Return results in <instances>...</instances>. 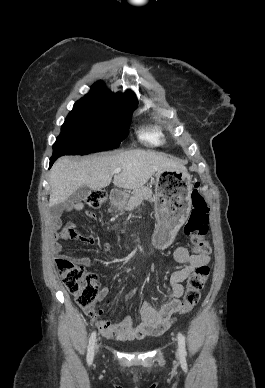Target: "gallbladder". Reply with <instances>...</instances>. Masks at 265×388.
<instances>
[{"label":"gallbladder","instance_id":"gallbladder-1","mask_svg":"<svg viewBox=\"0 0 265 388\" xmlns=\"http://www.w3.org/2000/svg\"><path fill=\"white\" fill-rule=\"evenodd\" d=\"M90 192L91 188H87V186H81V188H78V190H76V192L70 196V202H72V204H80L82 200H85V198L89 196Z\"/></svg>","mask_w":265,"mask_h":388}]
</instances>
